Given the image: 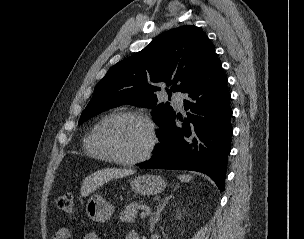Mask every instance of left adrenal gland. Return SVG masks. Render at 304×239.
<instances>
[{
    "label": "left adrenal gland",
    "instance_id": "left-adrenal-gland-1",
    "mask_svg": "<svg viewBox=\"0 0 304 239\" xmlns=\"http://www.w3.org/2000/svg\"><path fill=\"white\" fill-rule=\"evenodd\" d=\"M172 198V196H166L164 197L160 202H158L155 211L151 214L150 217V232L152 233L154 230L155 224H157L160 220V213L165 208L168 201Z\"/></svg>",
    "mask_w": 304,
    "mask_h": 239
}]
</instances>
